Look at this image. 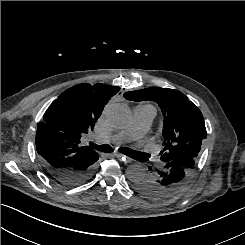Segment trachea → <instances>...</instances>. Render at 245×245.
I'll use <instances>...</instances> for the list:
<instances>
[{
    "instance_id": "obj_1",
    "label": "trachea",
    "mask_w": 245,
    "mask_h": 245,
    "mask_svg": "<svg viewBox=\"0 0 245 245\" xmlns=\"http://www.w3.org/2000/svg\"><path fill=\"white\" fill-rule=\"evenodd\" d=\"M89 145H90V147H92V148H94V149H96L98 151H101V152L109 153V152H113L114 151L113 148L110 145H108V144L97 145V144H95L93 142H90ZM119 151L121 153L129 156V157H133L135 155V151L132 150V149H129L127 147L119 148Z\"/></svg>"
}]
</instances>
